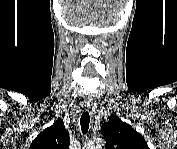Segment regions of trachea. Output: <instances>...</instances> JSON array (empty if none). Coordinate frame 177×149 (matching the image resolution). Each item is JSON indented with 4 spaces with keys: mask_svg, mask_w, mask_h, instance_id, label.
<instances>
[{
    "mask_svg": "<svg viewBox=\"0 0 177 149\" xmlns=\"http://www.w3.org/2000/svg\"><path fill=\"white\" fill-rule=\"evenodd\" d=\"M89 122H90L89 113L87 111L83 112L80 118L81 131L83 134H86L88 132Z\"/></svg>",
    "mask_w": 177,
    "mask_h": 149,
    "instance_id": "1",
    "label": "trachea"
}]
</instances>
